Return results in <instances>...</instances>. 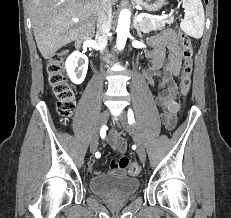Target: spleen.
Masks as SVG:
<instances>
[{"label": "spleen", "instance_id": "1", "mask_svg": "<svg viewBox=\"0 0 231 218\" xmlns=\"http://www.w3.org/2000/svg\"><path fill=\"white\" fill-rule=\"evenodd\" d=\"M185 16L181 29L189 36L199 39L203 35L205 15L201 0H182Z\"/></svg>", "mask_w": 231, "mask_h": 218}]
</instances>
